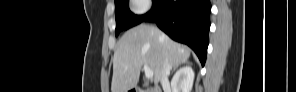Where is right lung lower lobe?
I'll use <instances>...</instances> for the list:
<instances>
[{"label": "right lung lower lobe", "mask_w": 296, "mask_h": 92, "mask_svg": "<svg viewBox=\"0 0 296 92\" xmlns=\"http://www.w3.org/2000/svg\"><path fill=\"white\" fill-rule=\"evenodd\" d=\"M210 9L209 0H158L141 22H156L172 39L190 46L204 65Z\"/></svg>", "instance_id": "obj_1"}]
</instances>
